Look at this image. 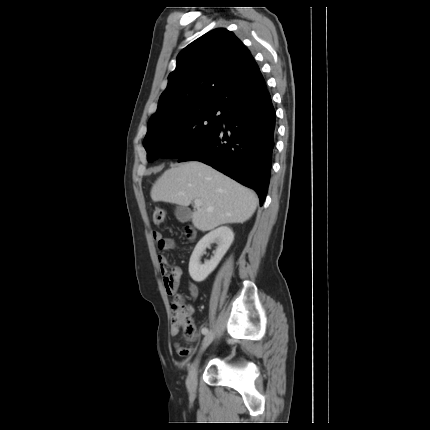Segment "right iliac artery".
Segmentation results:
<instances>
[{
	"label": "right iliac artery",
	"mask_w": 430,
	"mask_h": 430,
	"mask_svg": "<svg viewBox=\"0 0 430 430\" xmlns=\"http://www.w3.org/2000/svg\"><path fill=\"white\" fill-rule=\"evenodd\" d=\"M207 333H209V330H202V335H207Z\"/></svg>",
	"instance_id": "obj_1"
}]
</instances>
